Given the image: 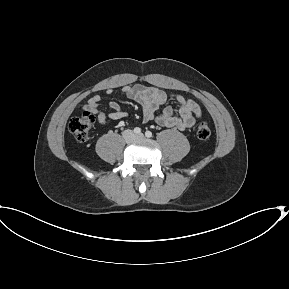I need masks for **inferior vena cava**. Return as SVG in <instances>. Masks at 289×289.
Instances as JSON below:
<instances>
[{
  "label": "inferior vena cava",
  "mask_w": 289,
  "mask_h": 289,
  "mask_svg": "<svg viewBox=\"0 0 289 289\" xmlns=\"http://www.w3.org/2000/svg\"><path fill=\"white\" fill-rule=\"evenodd\" d=\"M130 130H127L125 133H128Z\"/></svg>",
  "instance_id": "1"
}]
</instances>
